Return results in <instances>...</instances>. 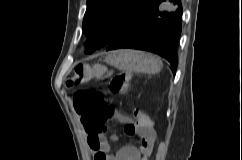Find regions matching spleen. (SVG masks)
Returning <instances> with one entry per match:
<instances>
[{"instance_id": "3e777b00", "label": "spleen", "mask_w": 242, "mask_h": 160, "mask_svg": "<svg viewBox=\"0 0 242 160\" xmlns=\"http://www.w3.org/2000/svg\"><path fill=\"white\" fill-rule=\"evenodd\" d=\"M158 61H159V63H160V68H161V66H162V62L158 59Z\"/></svg>"}]
</instances>
